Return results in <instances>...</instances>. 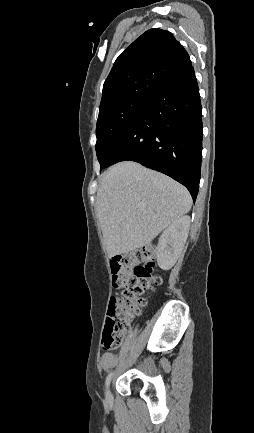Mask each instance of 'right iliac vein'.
Here are the masks:
<instances>
[{
    "mask_svg": "<svg viewBox=\"0 0 254 433\" xmlns=\"http://www.w3.org/2000/svg\"><path fill=\"white\" fill-rule=\"evenodd\" d=\"M105 397H106V401H107V403H111V401H112V396H111L110 387H107V389H106V393H105Z\"/></svg>",
    "mask_w": 254,
    "mask_h": 433,
    "instance_id": "1",
    "label": "right iliac vein"
}]
</instances>
